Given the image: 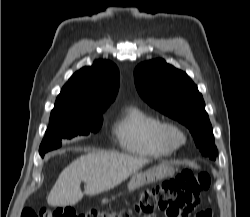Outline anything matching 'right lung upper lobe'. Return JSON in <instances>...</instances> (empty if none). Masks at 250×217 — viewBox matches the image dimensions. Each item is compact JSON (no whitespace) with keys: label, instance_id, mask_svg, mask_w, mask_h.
<instances>
[{"label":"right lung upper lobe","instance_id":"obj_1","mask_svg":"<svg viewBox=\"0 0 250 217\" xmlns=\"http://www.w3.org/2000/svg\"><path fill=\"white\" fill-rule=\"evenodd\" d=\"M119 72L114 63L96 60L77 71L58 95L50 120L105 111L115 99Z\"/></svg>","mask_w":250,"mask_h":217}]
</instances>
